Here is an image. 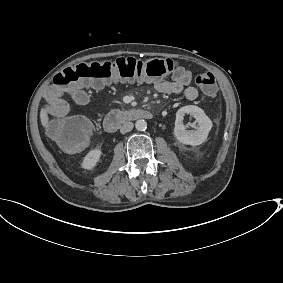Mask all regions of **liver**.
Segmentation results:
<instances>
[{
  "label": "liver",
  "instance_id": "6515ba94",
  "mask_svg": "<svg viewBox=\"0 0 283 283\" xmlns=\"http://www.w3.org/2000/svg\"><path fill=\"white\" fill-rule=\"evenodd\" d=\"M50 110L49 108L42 106L40 109V120L42 127L46 130V133L49 134V125H50Z\"/></svg>",
  "mask_w": 283,
  "mask_h": 283
}]
</instances>
